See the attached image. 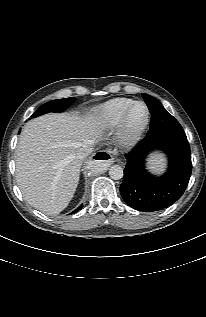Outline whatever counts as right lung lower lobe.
I'll return each mask as SVG.
<instances>
[{
    "mask_svg": "<svg viewBox=\"0 0 206 317\" xmlns=\"http://www.w3.org/2000/svg\"><path fill=\"white\" fill-rule=\"evenodd\" d=\"M83 207V205H80L76 210H74L71 214L76 213L77 211H79L81 208Z\"/></svg>",
    "mask_w": 206,
    "mask_h": 317,
    "instance_id": "98d812e1",
    "label": "right lung lower lobe"
}]
</instances>
